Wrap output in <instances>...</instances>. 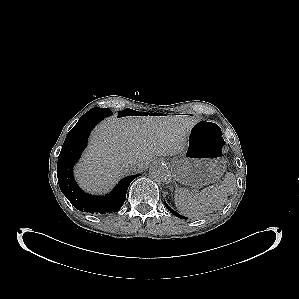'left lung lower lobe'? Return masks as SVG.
Returning a JSON list of instances; mask_svg holds the SVG:
<instances>
[{
	"label": "left lung lower lobe",
	"mask_w": 299,
	"mask_h": 299,
	"mask_svg": "<svg viewBox=\"0 0 299 299\" xmlns=\"http://www.w3.org/2000/svg\"><path fill=\"white\" fill-rule=\"evenodd\" d=\"M164 204H165L166 208H167L171 213H173V215H175V216L178 217V218L186 219L184 216H182V215L178 214L177 212L173 211V210H172V209L165 203V201H164Z\"/></svg>",
	"instance_id": "obj_1"
}]
</instances>
